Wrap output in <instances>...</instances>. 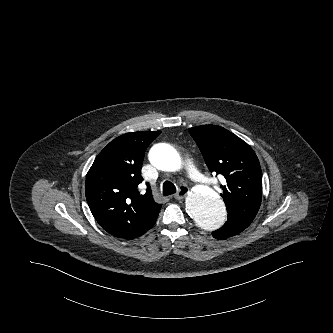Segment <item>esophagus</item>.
<instances>
[{
  "label": "esophagus",
  "instance_id": "34e87169",
  "mask_svg": "<svg viewBox=\"0 0 333 333\" xmlns=\"http://www.w3.org/2000/svg\"><path fill=\"white\" fill-rule=\"evenodd\" d=\"M189 193V188L181 185L179 191L174 195V198L177 200L183 199Z\"/></svg>",
  "mask_w": 333,
  "mask_h": 333
}]
</instances>
